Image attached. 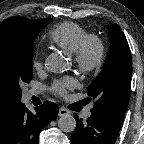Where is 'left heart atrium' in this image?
I'll use <instances>...</instances> for the list:
<instances>
[{
	"instance_id": "obj_1",
	"label": "left heart atrium",
	"mask_w": 144,
	"mask_h": 144,
	"mask_svg": "<svg viewBox=\"0 0 144 144\" xmlns=\"http://www.w3.org/2000/svg\"><path fill=\"white\" fill-rule=\"evenodd\" d=\"M74 84L75 83L72 78H65L63 80L56 81L53 84V91L60 96H64L69 89L74 87Z\"/></svg>"
}]
</instances>
